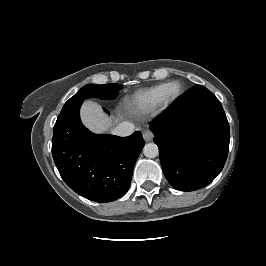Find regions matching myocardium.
<instances>
[{
  "instance_id": "myocardium-1",
  "label": "myocardium",
  "mask_w": 266,
  "mask_h": 266,
  "mask_svg": "<svg viewBox=\"0 0 266 266\" xmlns=\"http://www.w3.org/2000/svg\"><path fill=\"white\" fill-rule=\"evenodd\" d=\"M176 85H178L177 82H172V83H170V84H167V86H166V91H165V98H164L163 103H167V102L169 101V98L166 97V93H167V91H168L171 87L176 86ZM178 93H179V90L176 92V95H177Z\"/></svg>"
}]
</instances>
